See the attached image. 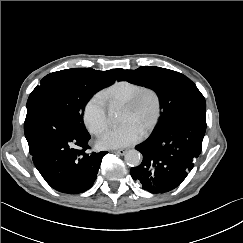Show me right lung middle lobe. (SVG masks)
I'll return each instance as SVG.
<instances>
[{
    "label": "right lung middle lobe",
    "mask_w": 243,
    "mask_h": 243,
    "mask_svg": "<svg viewBox=\"0 0 243 243\" xmlns=\"http://www.w3.org/2000/svg\"><path fill=\"white\" fill-rule=\"evenodd\" d=\"M110 80L79 71L66 69L45 76L28 98L27 107L33 104L52 106L65 113L82 131H87L83 112L89 99Z\"/></svg>",
    "instance_id": "1"
}]
</instances>
